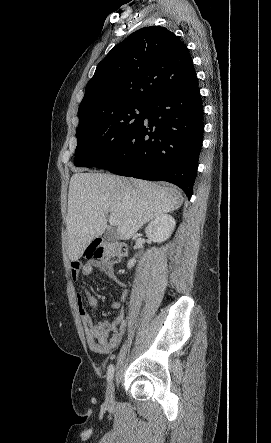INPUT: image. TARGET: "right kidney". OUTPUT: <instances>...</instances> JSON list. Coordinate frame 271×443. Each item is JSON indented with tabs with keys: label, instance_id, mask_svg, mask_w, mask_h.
<instances>
[{
	"label": "right kidney",
	"instance_id": "1",
	"mask_svg": "<svg viewBox=\"0 0 271 443\" xmlns=\"http://www.w3.org/2000/svg\"><path fill=\"white\" fill-rule=\"evenodd\" d=\"M175 223L174 218H172L170 214H161V216H157L155 220L148 223L147 227H145V233H147V237L152 239V241H158V243H161V241H165V239L170 237L175 227ZM135 261L136 259H134V257L129 259L128 267H133Z\"/></svg>",
	"mask_w": 271,
	"mask_h": 443
}]
</instances>
